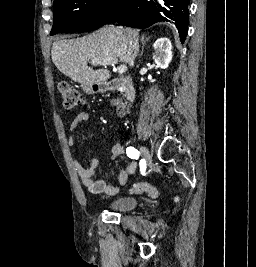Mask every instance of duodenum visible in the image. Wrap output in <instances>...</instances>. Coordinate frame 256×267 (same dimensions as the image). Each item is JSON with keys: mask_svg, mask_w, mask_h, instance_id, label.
<instances>
[{"mask_svg": "<svg viewBox=\"0 0 256 267\" xmlns=\"http://www.w3.org/2000/svg\"><path fill=\"white\" fill-rule=\"evenodd\" d=\"M83 94H99V90L122 91L129 102H134L137 97L136 87L131 77H116L110 81H85L80 85Z\"/></svg>", "mask_w": 256, "mask_h": 267, "instance_id": "410a0bca", "label": "duodenum"}]
</instances>
